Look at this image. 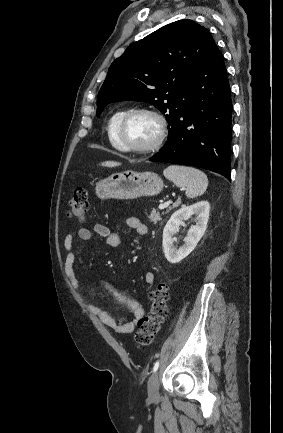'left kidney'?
Returning a JSON list of instances; mask_svg holds the SVG:
<instances>
[{
	"label": "left kidney",
	"mask_w": 283,
	"mask_h": 433,
	"mask_svg": "<svg viewBox=\"0 0 283 433\" xmlns=\"http://www.w3.org/2000/svg\"><path fill=\"white\" fill-rule=\"evenodd\" d=\"M210 204L208 201H199L190 206H184L174 212L163 230V250L170 263H178L187 257L196 247L207 227ZM196 215V224L192 225L184 238V244L176 248L174 235L179 226L189 217Z\"/></svg>",
	"instance_id": "5707ae66"
}]
</instances>
